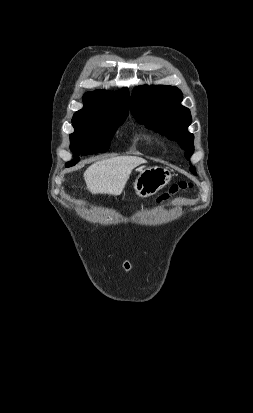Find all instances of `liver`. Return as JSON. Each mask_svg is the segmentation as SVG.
I'll list each match as a JSON object with an SVG mask.
<instances>
[{
    "label": "liver",
    "mask_w": 253,
    "mask_h": 413,
    "mask_svg": "<svg viewBox=\"0 0 253 413\" xmlns=\"http://www.w3.org/2000/svg\"><path fill=\"white\" fill-rule=\"evenodd\" d=\"M147 163L136 156H120L97 161L84 172L88 190L92 194H109L117 196L123 191L131 171Z\"/></svg>",
    "instance_id": "liver-1"
}]
</instances>
